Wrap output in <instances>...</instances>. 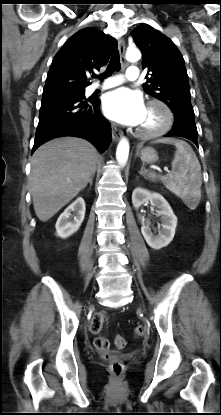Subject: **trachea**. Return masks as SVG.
Segmentation results:
<instances>
[{"instance_id":"obj_1","label":"trachea","mask_w":221,"mask_h":415,"mask_svg":"<svg viewBox=\"0 0 221 415\" xmlns=\"http://www.w3.org/2000/svg\"><path fill=\"white\" fill-rule=\"evenodd\" d=\"M121 68V64H120V57H119V53L115 52L109 62V65L106 69V71L100 75V80H103L104 78H107L108 76H111L115 71H119ZM94 78H97L96 75L93 76Z\"/></svg>"}]
</instances>
